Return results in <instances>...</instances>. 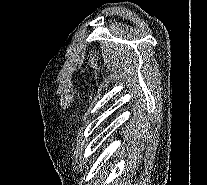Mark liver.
I'll return each instance as SVG.
<instances>
[{"label":"liver","instance_id":"6515ba94","mask_svg":"<svg viewBox=\"0 0 207 185\" xmlns=\"http://www.w3.org/2000/svg\"><path fill=\"white\" fill-rule=\"evenodd\" d=\"M102 177H104V175H102ZM105 177H106V175H105ZM102 181H103V179H102ZM121 185H130L129 179H124V181H121Z\"/></svg>","mask_w":207,"mask_h":185}]
</instances>
